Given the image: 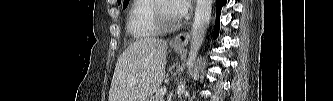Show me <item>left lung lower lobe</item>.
I'll use <instances>...</instances> for the list:
<instances>
[{"instance_id": "left-lung-lower-lobe-1", "label": "left lung lower lobe", "mask_w": 333, "mask_h": 101, "mask_svg": "<svg viewBox=\"0 0 333 101\" xmlns=\"http://www.w3.org/2000/svg\"><path fill=\"white\" fill-rule=\"evenodd\" d=\"M227 0H216V23L214 28L213 36L216 38L219 34V25H220V13L221 8L226 4Z\"/></svg>"}]
</instances>
